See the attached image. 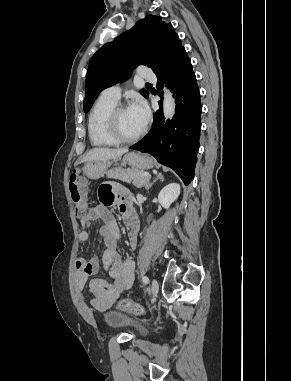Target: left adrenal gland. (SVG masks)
<instances>
[{
	"instance_id": "obj_1",
	"label": "left adrenal gland",
	"mask_w": 291,
	"mask_h": 381,
	"mask_svg": "<svg viewBox=\"0 0 291 381\" xmlns=\"http://www.w3.org/2000/svg\"><path fill=\"white\" fill-rule=\"evenodd\" d=\"M157 179H160L161 181H163L164 177H163V175L161 173H158L156 178L152 182H147L145 184V189L149 190L152 187V184L157 181Z\"/></svg>"
}]
</instances>
